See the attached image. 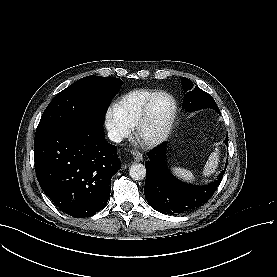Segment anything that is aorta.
Segmentation results:
<instances>
[{
  "label": "aorta",
  "instance_id": "762f6f07",
  "mask_svg": "<svg viewBox=\"0 0 277 277\" xmlns=\"http://www.w3.org/2000/svg\"><path fill=\"white\" fill-rule=\"evenodd\" d=\"M129 175L133 180H143L146 177V168L141 163H134L129 168Z\"/></svg>",
  "mask_w": 277,
  "mask_h": 277
}]
</instances>
